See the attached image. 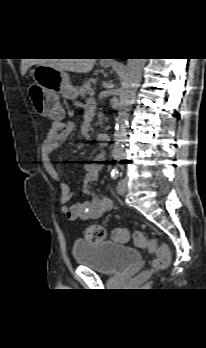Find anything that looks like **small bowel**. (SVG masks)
<instances>
[{"mask_svg":"<svg viewBox=\"0 0 206 348\" xmlns=\"http://www.w3.org/2000/svg\"><path fill=\"white\" fill-rule=\"evenodd\" d=\"M74 130L72 121L54 122L46 134L41 144V161L44 169L54 180L59 179V174L50 160L51 152L64 144ZM86 176L83 181L82 191L84 194H90V184L99 180L100 166L87 163L83 166ZM71 198V190L68 185L60 186V202L62 204V213L70 220L86 221L97 219L112 209V202L102 196H92L89 200L68 206Z\"/></svg>","mask_w":206,"mask_h":348,"instance_id":"small-bowel-1","label":"small bowel"}]
</instances>
